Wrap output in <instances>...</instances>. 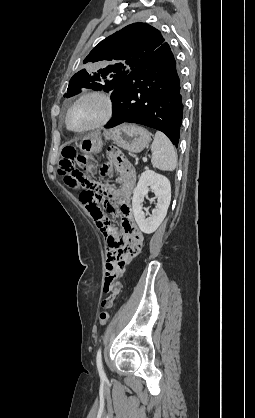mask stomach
Segmentation results:
<instances>
[{
  "instance_id": "stomach-1",
  "label": "stomach",
  "mask_w": 255,
  "mask_h": 418,
  "mask_svg": "<svg viewBox=\"0 0 255 418\" xmlns=\"http://www.w3.org/2000/svg\"><path fill=\"white\" fill-rule=\"evenodd\" d=\"M106 139L113 140L115 144L131 153L141 152L151 141V135L144 127L134 124H124L103 133ZM84 153H97L102 148V140L99 134L84 138L80 145Z\"/></svg>"
}]
</instances>
